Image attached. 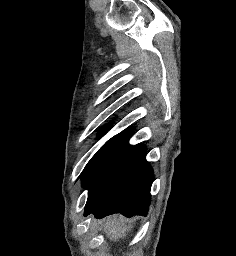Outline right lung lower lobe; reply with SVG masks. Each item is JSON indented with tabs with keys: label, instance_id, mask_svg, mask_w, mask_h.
Instances as JSON below:
<instances>
[{
	"label": "right lung lower lobe",
	"instance_id": "obj_1",
	"mask_svg": "<svg viewBox=\"0 0 236 256\" xmlns=\"http://www.w3.org/2000/svg\"><path fill=\"white\" fill-rule=\"evenodd\" d=\"M146 149L135 145L112 161L90 184L84 215L103 218L113 213L126 217L146 215L150 205L152 167Z\"/></svg>",
	"mask_w": 236,
	"mask_h": 256
}]
</instances>
